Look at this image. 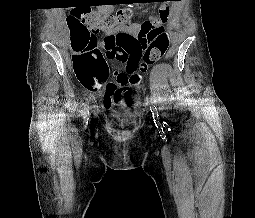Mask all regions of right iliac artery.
Listing matches in <instances>:
<instances>
[{
	"mask_svg": "<svg viewBox=\"0 0 255 218\" xmlns=\"http://www.w3.org/2000/svg\"><path fill=\"white\" fill-rule=\"evenodd\" d=\"M89 113V112H88ZM88 120H89V116H88V114H86L85 116H84V124H85V127L87 126V124H88Z\"/></svg>",
	"mask_w": 255,
	"mask_h": 218,
	"instance_id": "82829eb1",
	"label": "right iliac artery"
}]
</instances>
